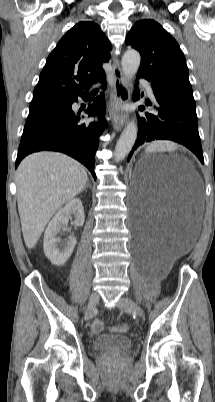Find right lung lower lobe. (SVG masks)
<instances>
[{
  "mask_svg": "<svg viewBox=\"0 0 215 402\" xmlns=\"http://www.w3.org/2000/svg\"><path fill=\"white\" fill-rule=\"evenodd\" d=\"M101 81L105 89V78L102 77ZM78 96L85 98L86 93L70 98L65 110L57 116L23 132L16 167L30 153L42 150L59 151L84 164L96 179L95 152L99 145V137L106 128L104 96L101 94L97 97L85 111L89 116H98V121L91 123H81L80 117L72 111V104L78 101Z\"/></svg>",
  "mask_w": 215,
  "mask_h": 402,
  "instance_id": "right-lung-lower-lobe-1",
  "label": "right lung lower lobe"
}]
</instances>
